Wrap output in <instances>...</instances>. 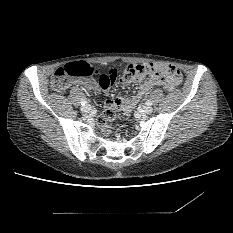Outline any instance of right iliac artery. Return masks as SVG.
<instances>
[{
  "mask_svg": "<svg viewBox=\"0 0 233 233\" xmlns=\"http://www.w3.org/2000/svg\"><path fill=\"white\" fill-rule=\"evenodd\" d=\"M86 104H87L86 99H82V100H81V105H83V106H84V105H86Z\"/></svg>",
  "mask_w": 233,
  "mask_h": 233,
  "instance_id": "obj_1",
  "label": "right iliac artery"
}]
</instances>
